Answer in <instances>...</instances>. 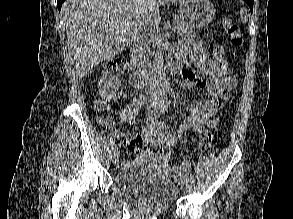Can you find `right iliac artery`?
<instances>
[{"label":"right iliac artery","instance_id":"right-iliac-artery-1","mask_svg":"<svg viewBox=\"0 0 293 219\" xmlns=\"http://www.w3.org/2000/svg\"><path fill=\"white\" fill-rule=\"evenodd\" d=\"M169 105H170V102L167 101V102H166V106H165V108H164L163 110H161L160 112H155L153 115H151V116H149V117L147 118V120H146V124L148 125V124L153 123L154 121H156V120L160 117L161 114H163V113H165V111H167ZM117 149H118V148H117V146L115 145V146L112 148V151L114 152V151H116Z\"/></svg>","mask_w":293,"mask_h":219}]
</instances>
